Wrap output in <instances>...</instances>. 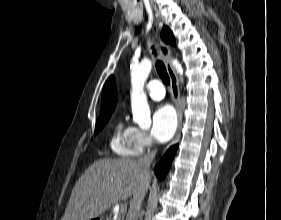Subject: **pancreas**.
Masks as SVG:
<instances>
[{"mask_svg":"<svg viewBox=\"0 0 281 220\" xmlns=\"http://www.w3.org/2000/svg\"><path fill=\"white\" fill-rule=\"evenodd\" d=\"M107 220H112L111 218H108ZM114 220H124V214L119 213L117 217Z\"/></svg>","mask_w":281,"mask_h":220,"instance_id":"1","label":"pancreas"}]
</instances>
